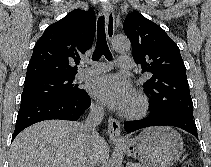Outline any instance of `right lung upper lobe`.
I'll return each instance as SVG.
<instances>
[{"label":"right lung upper lobe","mask_w":211,"mask_h":167,"mask_svg":"<svg viewBox=\"0 0 211 167\" xmlns=\"http://www.w3.org/2000/svg\"><path fill=\"white\" fill-rule=\"evenodd\" d=\"M96 17L92 8L76 9L51 24L34 46L28 64L25 81L47 76H72L77 69L71 63H79L93 43Z\"/></svg>","instance_id":"cb5924a9"}]
</instances>
